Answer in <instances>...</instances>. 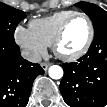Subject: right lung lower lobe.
<instances>
[{"label": "right lung lower lobe", "instance_id": "1", "mask_svg": "<svg viewBox=\"0 0 107 107\" xmlns=\"http://www.w3.org/2000/svg\"><path fill=\"white\" fill-rule=\"evenodd\" d=\"M43 73L39 64L20 56L15 43L0 41V107H25L34 79Z\"/></svg>", "mask_w": 107, "mask_h": 107}]
</instances>
